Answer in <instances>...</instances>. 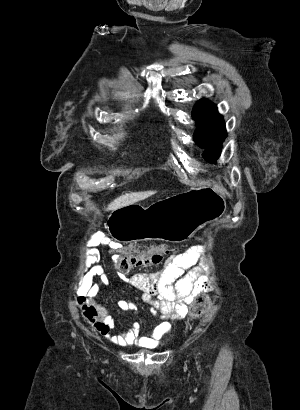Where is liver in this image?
I'll return each mask as SVG.
<instances>
[{"mask_svg": "<svg viewBox=\"0 0 300 410\" xmlns=\"http://www.w3.org/2000/svg\"><path fill=\"white\" fill-rule=\"evenodd\" d=\"M153 192H133V193H126L122 196H119L115 200H113L107 207L106 210H115L121 208L123 206H127L130 204H135L138 201L144 200L152 195Z\"/></svg>", "mask_w": 300, "mask_h": 410, "instance_id": "1", "label": "liver"}]
</instances>
